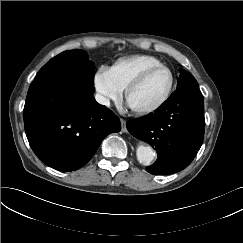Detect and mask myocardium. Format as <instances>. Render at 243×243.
<instances>
[{"mask_svg": "<svg viewBox=\"0 0 243 243\" xmlns=\"http://www.w3.org/2000/svg\"><path fill=\"white\" fill-rule=\"evenodd\" d=\"M157 69H165L168 71L169 77H170L168 88H167L165 94L154 104L147 106V107H143V108H132L131 107L133 109V111H135L138 114H149V113L157 111L169 100V98L173 92V88H174V84H175L174 74L168 66L161 63V64L154 65V66L144 69L127 85V87L125 89V93H124L126 102L128 103V97L131 94V92L133 90H135L151 72H153Z\"/></svg>", "mask_w": 243, "mask_h": 243, "instance_id": "f54148a6", "label": "myocardium"}]
</instances>
